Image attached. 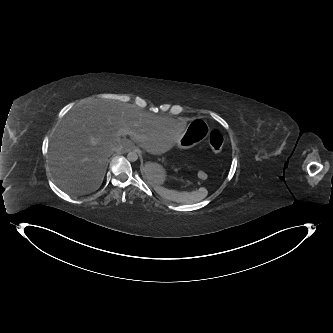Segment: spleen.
Returning a JSON list of instances; mask_svg holds the SVG:
<instances>
[{
    "mask_svg": "<svg viewBox=\"0 0 333 333\" xmlns=\"http://www.w3.org/2000/svg\"><path fill=\"white\" fill-rule=\"evenodd\" d=\"M155 191L164 196L165 200L175 203H194L203 200L207 197L208 192L204 188L192 192H178L175 190H168L167 188L153 187Z\"/></svg>",
    "mask_w": 333,
    "mask_h": 333,
    "instance_id": "3e777b00",
    "label": "spleen"
}]
</instances>
